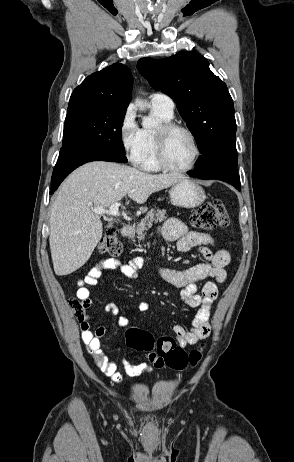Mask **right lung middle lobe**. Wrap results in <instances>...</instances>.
<instances>
[{"mask_svg": "<svg viewBox=\"0 0 294 462\" xmlns=\"http://www.w3.org/2000/svg\"><path fill=\"white\" fill-rule=\"evenodd\" d=\"M125 112L126 108L115 106L68 107L57 162L106 152L125 154L121 137Z\"/></svg>", "mask_w": 294, "mask_h": 462, "instance_id": "dd1d6c3e", "label": "right lung middle lobe"}]
</instances>
